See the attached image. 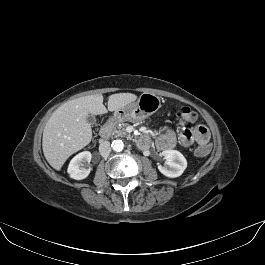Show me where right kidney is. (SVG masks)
Here are the masks:
<instances>
[{"label": "right kidney", "mask_w": 265, "mask_h": 265, "mask_svg": "<svg viewBox=\"0 0 265 265\" xmlns=\"http://www.w3.org/2000/svg\"><path fill=\"white\" fill-rule=\"evenodd\" d=\"M92 158L89 151H83L77 154L69 163L67 172L69 176L76 180H82L88 177L91 168L88 167Z\"/></svg>", "instance_id": "obj_1"}]
</instances>
